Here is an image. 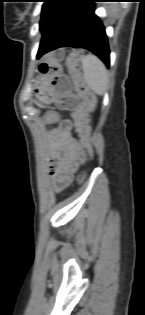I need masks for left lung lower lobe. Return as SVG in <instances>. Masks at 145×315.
<instances>
[{
    "mask_svg": "<svg viewBox=\"0 0 145 315\" xmlns=\"http://www.w3.org/2000/svg\"><path fill=\"white\" fill-rule=\"evenodd\" d=\"M98 0H73L42 38L37 58L59 47L84 48L110 64L105 28L94 14Z\"/></svg>",
    "mask_w": 145,
    "mask_h": 315,
    "instance_id": "1",
    "label": "left lung lower lobe"
}]
</instances>
